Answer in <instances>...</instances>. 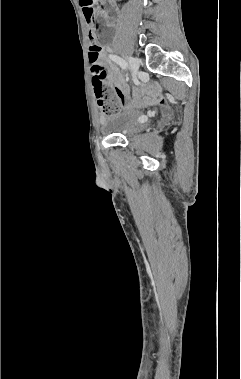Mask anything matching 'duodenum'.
Here are the masks:
<instances>
[{"label":"duodenum","instance_id":"duodenum-1","mask_svg":"<svg viewBox=\"0 0 241 379\" xmlns=\"http://www.w3.org/2000/svg\"><path fill=\"white\" fill-rule=\"evenodd\" d=\"M100 2H106L107 0H99Z\"/></svg>","mask_w":241,"mask_h":379}]
</instances>
